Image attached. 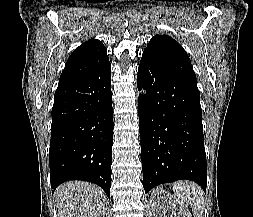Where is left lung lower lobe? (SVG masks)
Returning <instances> with one entry per match:
<instances>
[{"instance_id":"1","label":"left lung lower lobe","mask_w":253,"mask_h":217,"mask_svg":"<svg viewBox=\"0 0 253 217\" xmlns=\"http://www.w3.org/2000/svg\"><path fill=\"white\" fill-rule=\"evenodd\" d=\"M145 193L188 179L207 186L202 109L197 84L142 56L137 74Z\"/></svg>"}]
</instances>
